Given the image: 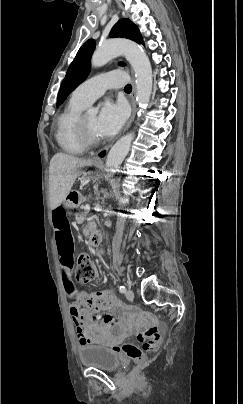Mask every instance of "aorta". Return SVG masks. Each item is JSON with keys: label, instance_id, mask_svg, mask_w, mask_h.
Listing matches in <instances>:
<instances>
[{"label": "aorta", "instance_id": "aorta-1", "mask_svg": "<svg viewBox=\"0 0 243 404\" xmlns=\"http://www.w3.org/2000/svg\"><path fill=\"white\" fill-rule=\"evenodd\" d=\"M125 56L131 68L134 70L136 78V102L139 106V114H144L152 92V68L149 58L141 46L131 42V40H106L101 46L96 48L91 64L93 68L105 66L113 58ZM88 118L93 120L98 114L97 108H88L86 112ZM134 140V132L122 136L114 146H112L106 160L109 169L120 168Z\"/></svg>", "mask_w": 243, "mask_h": 404}]
</instances>
